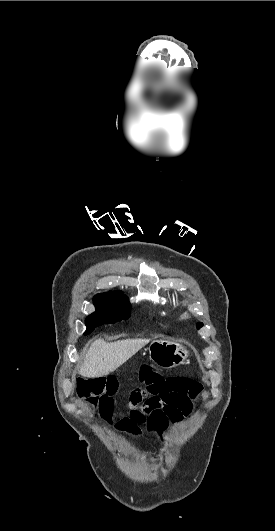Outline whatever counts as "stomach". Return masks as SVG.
Listing matches in <instances>:
<instances>
[{
	"label": "stomach",
	"mask_w": 275,
	"mask_h": 531,
	"mask_svg": "<svg viewBox=\"0 0 275 531\" xmlns=\"http://www.w3.org/2000/svg\"><path fill=\"white\" fill-rule=\"evenodd\" d=\"M148 349L143 352L144 361H153L162 369H173L178 365H184L189 357L186 347L177 341H168V339L152 341Z\"/></svg>",
	"instance_id": "stomach-1"
}]
</instances>
